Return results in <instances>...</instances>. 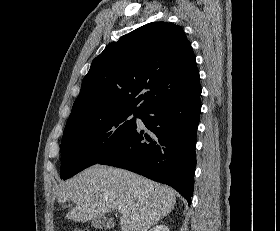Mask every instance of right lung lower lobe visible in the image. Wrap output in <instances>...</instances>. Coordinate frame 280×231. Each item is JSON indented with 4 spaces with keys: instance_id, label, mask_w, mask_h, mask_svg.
Returning <instances> with one entry per match:
<instances>
[{
    "instance_id": "98d812e1",
    "label": "right lung lower lobe",
    "mask_w": 280,
    "mask_h": 231,
    "mask_svg": "<svg viewBox=\"0 0 280 231\" xmlns=\"http://www.w3.org/2000/svg\"><path fill=\"white\" fill-rule=\"evenodd\" d=\"M201 89L158 103L140 119L153 132L132 131L97 164L124 168L176 189L191 203Z\"/></svg>"
}]
</instances>
